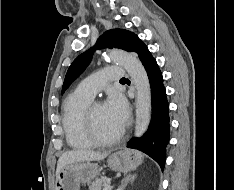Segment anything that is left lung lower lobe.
I'll use <instances>...</instances> for the list:
<instances>
[{
    "label": "left lung lower lobe",
    "mask_w": 234,
    "mask_h": 190,
    "mask_svg": "<svg viewBox=\"0 0 234 190\" xmlns=\"http://www.w3.org/2000/svg\"><path fill=\"white\" fill-rule=\"evenodd\" d=\"M136 53L149 78L152 94V117L149 128L143 137L133 138L127 144V147L146 153L163 170L166 159V146L170 137L169 108L163 77L155 58L146 45H143Z\"/></svg>",
    "instance_id": "left-lung-lower-lobe-1"
}]
</instances>
